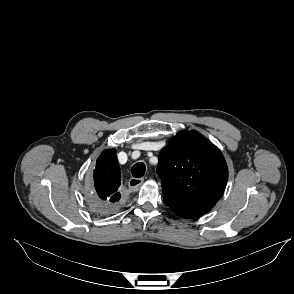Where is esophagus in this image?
<instances>
[{
  "mask_svg": "<svg viewBox=\"0 0 294 294\" xmlns=\"http://www.w3.org/2000/svg\"><path fill=\"white\" fill-rule=\"evenodd\" d=\"M144 182V178H131L128 182L129 187L133 190L138 189Z\"/></svg>",
  "mask_w": 294,
  "mask_h": 294,
  "instance_id": "1",
  "label": "esophagus"
}]
</instances>
